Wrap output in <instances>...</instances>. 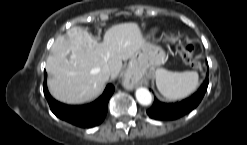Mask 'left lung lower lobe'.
Instances as JSON below:
<instances>
[{
    "label": "left lung lower lobe",
    "instance_id": "obj_1",
    "mask_svg": "<svg viewBox=\"0 0 247 145\" xmlns=\"http://www.w3.org/2000/svg\"><path fill=\"white\" fill-rule=\"evenodd\" d=\"M208 86V79L192 97L174 104H165L154 99L147 114L157 120H174L192 111L202 100Z\"/></svg>",
    "mask_w": 247,
    "mask_h": 145
}]
</instances>
